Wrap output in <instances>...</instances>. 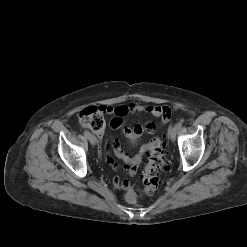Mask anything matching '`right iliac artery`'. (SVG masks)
Listing matches in <instances>:
<instances>
[{"mask_svg":"<svg viewBox=\"0 0 247 247\" xmlns=\"http://www.w3.org/2000/svg\"><path fill=\"white\" fill-rule=\"evenodd\" d=\"M84 136H85L86 138H88V137L90 136V132H89V131H84Z\"/></svg>","mask_w":247,"mask_h":247,"instance_id":"1","label":"right iliac artery"}]
</instances>
